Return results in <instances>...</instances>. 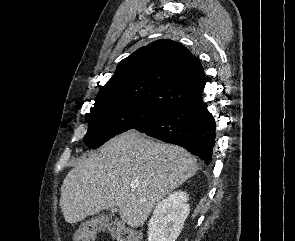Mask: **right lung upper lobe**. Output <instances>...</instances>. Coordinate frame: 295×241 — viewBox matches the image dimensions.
Instances as JSON below:
<instances>
[{
    "mask_svg": "<svg viewBox=\"0 0 295 241\" xmlns=\"http://www.w3.org/2000/svg\"><path fill=\"white\" fill-rule=\"evenodd\" d=\"M204 86L200 61L182 44L163 39L123 59L98 95L166 110L201 96Z\"/></svg>",
    "mask_w": 295,
    "mask_h": 241,
    "instance_id": "1",
    "label": "right lung upper lobe"
}]
</instances>
